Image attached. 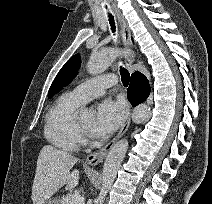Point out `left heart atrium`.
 I'll use <instances>...</instances> for the list:
<instances>
[{
	"label": "left heart atrium",
	"instance_id": "39dd6f15",
	"mask_svg": "<svg viewBox=\"0 0 212 204\" xmlns=\"http://www.w3.org/2000/svg\"><path fill=\"white\" fill-rule=\"evenodd\" d=\"M126 114L121 101L103 100L97 107L91 133L95 137H105L113 133L121 124Z\"/></svg>",
	"mask_w": 212,
	"mask_h": 204
}]
</instances>
